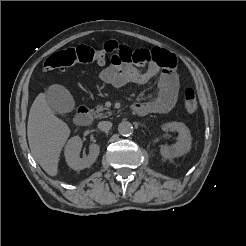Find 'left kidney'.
<instances>
[{"instance_id":"obj_1","label":"left kidney","mask_w":246,"mask_h":246,"mask_svg":"<svg viewBox=\"0 0 246 246\" xmlns=\"http://www.w3.org/2000/svg\"><path fill=\"white\" fill-rule=\"evenodd\" d=\"M171 131L178 132L177 141L171 146H161L160 154L164 158L180 157L189 152L192 144L190 130L181 122H169L164 125Z\"/></svg>"}]
</instances>
